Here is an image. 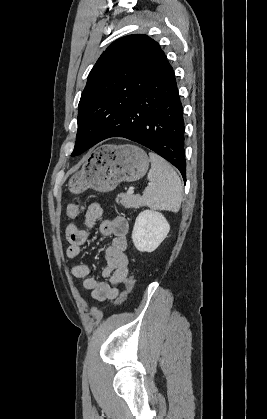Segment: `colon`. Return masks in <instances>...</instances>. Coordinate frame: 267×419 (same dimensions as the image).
Listing matches in <instances>:
<instances>
[{
	"label": "colon",
	"instance_id": "obj_1",
	"mask_svg": "<svg viewBox=\"0 0 267 419\" xmlns=\"http://www.w3.org/2000/svg\"><path fill=\"white\" fill-rule=\"evenodd\" d=\"M81 211H82V206L81 205L71 204L67 207L66 216L68 218H74V217L78 216ZM134 284H135L134 276H130L126 279L125 290L121 293L120 297L117 299L116 306H120L121 304H123L126 301L128 295L133 290Z\"/></svg>",
	"mask_w": 267,
	"mask_h": 419
}]
</instances>
